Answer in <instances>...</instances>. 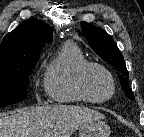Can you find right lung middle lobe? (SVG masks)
<instances>
[{
	"label": "right lung middle lobe",
	"instance_id": "obj_1",
	"mask_svg": "<svg viewBox=\"0 0 144 137\" xmlns=\"http://www.w3.org/2000/svg\"><path fill=\"white\" fill-rule=\"evenodd\" d=\"M38 59L0 65V107L23 100L29 75Z\"/></svg>",
	"mask_w": 144,
	"mask_h": 137
}]
</instances>
